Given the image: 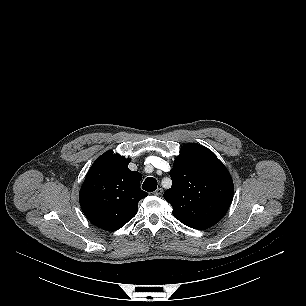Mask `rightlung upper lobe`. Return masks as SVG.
Masks as SVG:
<instances>
[{"label":"right lung upper lobe","mask_w":306,"mask_h":306,"mask_svg":"<svg viewBox=\"0 0 306 306\" xmlns=\"http://www.w3.org/2000/svg\"><path fill=\"white\" fill-rule=\"evenodd\" d=\"M130 159L106 152L91 166L80 189L83 213L104 230L123 227L137 213L148 193L140 188L142 175L128 169Z\"/></svg>","instance_id":"cb5924a9"}]
</instances>
